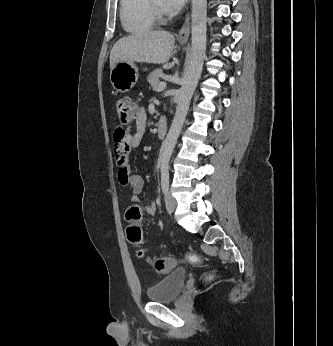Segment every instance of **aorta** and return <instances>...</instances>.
Segmentation results:
<instances>
[{
    "label": "aorta",
    "instance_id": "aorta-1",
    "mask_svg": "<svg viewBox=\"0 0 333 346\" xmlns=\"http://www.w3.org/2000/svg\"><path fill=\"white\" fill-rule=\"evenodd\" d=\"M207 0H192V52L188 71L180 89L176 113L164 141L161 168H167L180 131L183 127L191 98L201 76L206 52Z\"/></svg>",
    "mask_w": 333,
    "mask_h": 346
}]
</instances>
